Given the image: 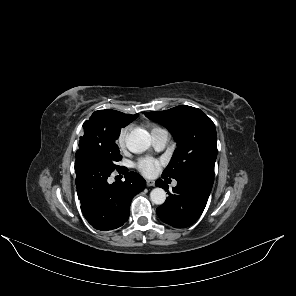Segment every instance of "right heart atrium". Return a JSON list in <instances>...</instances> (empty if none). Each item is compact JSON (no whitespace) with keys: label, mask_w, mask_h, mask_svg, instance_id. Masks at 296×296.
Wrapping results in <instances>:
<instances>
[{"label":"right heart atrium","mask_w":296,"mask_h":296,"mask_svg":"<svg viewBox=\"0 0 296 296\" xmlns=\"http://www.w3.org/2000/svg\"><path fill=\"white\" fill-rule=\"evenodd\" d=\"M131 128L129 126L123 128L117 138V144L121 149H124L126 146V141H127V137L128 134L130 132Z\"/></svg>","instance_id":"d8ad5b80"}]
</instances>
